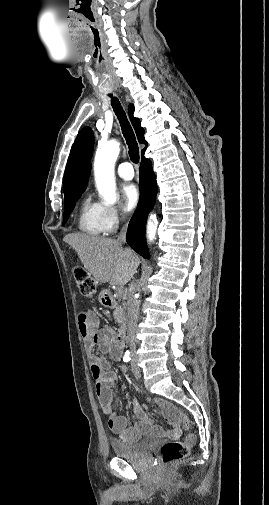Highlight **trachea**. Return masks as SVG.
I'll list each match as a JSON object with an SVG mask.
<instances>
[{
    "mask_svg": "<svg viewBox=\"0 0 269 505\" xmlns=\"http://www.w3.org/2000/svg\"><path fill=\"white\" fill-rule=\"evenodd\" d=\"M109 96L112 97L111 94ZM111 104H112L115 114L118 117L123 136H124L126 143L128 145L130 159L133 163H138L139 162V147H138V143L136 141L134 131H133V129L128 121V118L126 116V113L123 110L118 98L112 97Z\"/></svg>",
    "mask_w": 269,
    "mask_h": 505,
    "instance_id": "trachea-1",
    "label": "trachea"
}]
</instances>
